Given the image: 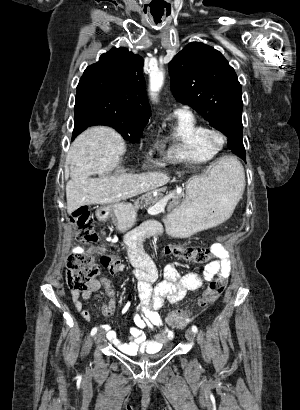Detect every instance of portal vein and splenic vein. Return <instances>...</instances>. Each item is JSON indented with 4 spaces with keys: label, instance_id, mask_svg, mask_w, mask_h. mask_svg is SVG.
I'll return each mask as SVG.
<instances>
[{
    "label": "portal vein and splenic vein",
    "instance_id": "portal-vein-and-splenic-vein-1",
    "mask_svg": "<svg viewBox=\"0 0 300 410\" xmlns=\"http://www.w3.org/2000/svg\"><path fill=\"white\" fill-rule=\"evenodd\" d=\"M172 195H167L164 198H162L160 201H158L154 206L150 207L148 209L149 213L153 212H162L168 202L169 199H171Z\"/></svg>",
    "mask_w": 300,
    "mask_h": 410
}]
</instances>
